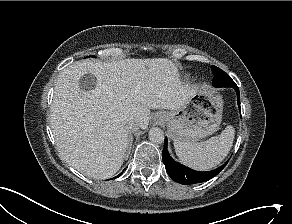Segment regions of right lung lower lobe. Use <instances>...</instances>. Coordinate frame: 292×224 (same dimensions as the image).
<instances>
[{
    "mask_svg": "<svg viewBox=\"0 0 292 224\" xmlns=\"http://www.w3.org/2000/svg\"><path fill=\"white\" fill-rule=\"evenodd\" d=\"M122 173H123V171L118 176H116L115 178L119 177Z\"/></svg>",
    "mask_w": 292,
    "mask_h": 224,
    "instance_id": "obj_1",
    "label": "right lung lower lobe"
}]
</instances>
